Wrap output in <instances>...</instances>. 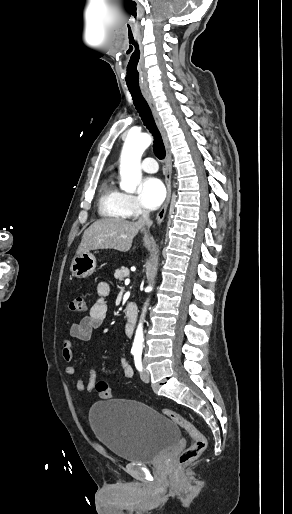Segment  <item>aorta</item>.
Segmentation results:
<instances>
[{
	"instance_id": "obj_1",
	"label": "aorta",
	"mask_w": 292,
	"mask_h": 514,
	"mask_svg": "<svg viewBox=\"0 0 292 514\" xmlns=\"http://www.w3.org/2000/svg\"><path fill=\"white\" fill-rule=\"evenodd\" d=\"M152 142L151 136L148 134H128L127 140L123 146L120 164V186L122 190L128 194H134L138 182L141 180V156L150 146ZM143 332L142 324H139L136 330V336L133 348H141L142 350Z\"/></svg>"
}]
</instances>
